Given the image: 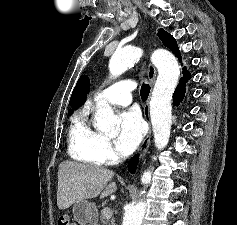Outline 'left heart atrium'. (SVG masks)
I'll return each instance as SVG.
<instances>
[{
	"instance_id": "obj_1",
	"label": "left heart atrium",
	"mask_w": 237,
	"mask_h": 225,
	"mask_svg": "<svg viewBox=\"0 0 237 225\" xmlns=\"http://www.w3.org/2000/svg\"><path fill=\"white\" fill-rule=\"evenodd\" d=\"M144 134L143 121L135 110L123 112L119 118V132L115 141L118 151L129 155L139 145Z\"/></svg>"
}]
</instances>
